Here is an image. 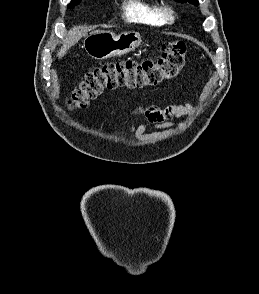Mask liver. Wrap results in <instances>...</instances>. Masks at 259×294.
I'll use <instances>...</instances> for the list:
<instances>
[{
    "label": "liver",
    "mask_w": 259,
    "mask_h": 294,
    "mask_svg": "<svg viewBox=\"0 0 259 294\" xmlns=\"http://www.w3.org/2000/svg\"><path fill=\"white\" fill-rule=\"evenodd\" d=\"M88 30L84 27L76 26L73 27L68 34V37L64 40L63 46L58 51L57 56L62 58L66 52L75 45L83 36L87 35Z\"/></svg>",
    "instance_id": "6515ba94"
}]
</instances>
